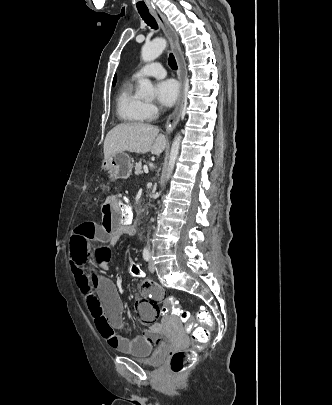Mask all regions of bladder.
Returning <instances> with one entry per match:
<instances>
[{"mask_svg": "<svg viewBox=\"0 0 332 405\" xmlns=\"http://www.w3.org/2000/svg\"><path fill=\"white\" fill-rule=\"evenodd\" d=\"M123 353L150 365H160L166 358L167 345L164 342H158L147 346L145 352L132 349L123 351Z\"/></svg>", "mask_w": 332, "mask_h": 405, "instance_id": "1", "label": "bladder"}]
</instances>
